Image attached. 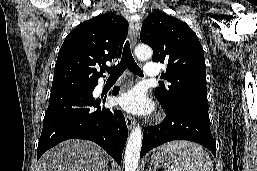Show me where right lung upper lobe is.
Segmentation results:
<instances>
[{"label": "right lung upper lobe", "mask_w": 257, "mask_h": 171, "mask_svg": "<svg viewBox=\"0 0 257 171\" xmlns=\"http://www.w3.org/2000/svg\"><path fill=\"white\" fill-rule=\"evenodd\" d=\"M127 33L126 19L112 12L79 24L60 48L52 87L64 89L97 83L103 76L105 62L120 57Z\"/></svg>", "instance_id": "cb5924a9"}]
</instances>
